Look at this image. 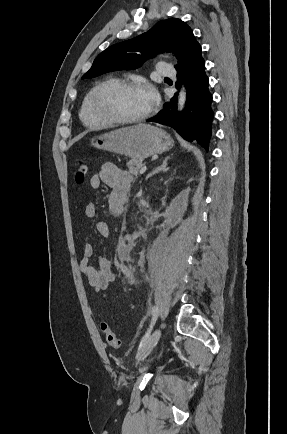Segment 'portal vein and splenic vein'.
Listing matches in <instances>:
<instances>
[{"label": "portal vein and splenic vein", "instance_id": "18ae733b", "mask_svg": "<svg viewBox=\"0 0 287 434\" xmlns=\"http://www.w3.org/2000/svg\"><path fill=\"white\" fill-rule=\"evenodd\" d=\"M147 170V166L143 165L142 168L140 169V174H144Z\"/></svg>", "mask_w": 287, "mask_h": 434}]
</instances>
